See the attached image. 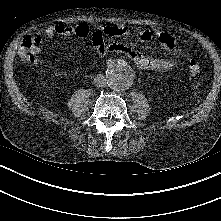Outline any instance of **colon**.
<instances>
[{"label":"colon","instance_id":"colon-1","mask_svg":"<svg viewBox=\"0 0 221 221\" xmlns=\"http://www.w3.org/2000/svg\"><path fill=\"white\" fill-rule=\"evenodd\" d=\"M39 42L35 37H26L19 47V57L23 63L34 64L39 53ZM188 74L195 80L200 79L201 67L195 60H191L187 66Z\"/></svg>","mask_w":221,"mask_h":221}]
</instances>
